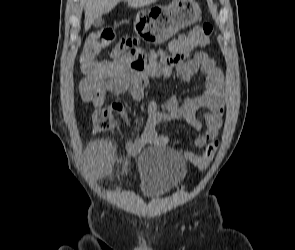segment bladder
Masks as SVG:
<instances>
[{
	"label": "bladder",
	"instance_id": "31cf9c89",
	"mask_svg": "<svg viewBox=\"0 0 295 250\" xmlns=\"http://www.w3.org/2000/svg\"><path fill=\"white\" fill-rule=\"evenodd\" d=\"M143 193L152 199L170 192L186 174V162L176 151L167 148L144 150L138 157Z\"/></svg>",
	"mask_w": 295,
	"mask_h": 250
}]
</instances>
